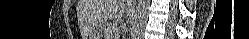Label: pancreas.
<instances>
[{
    "label": "pancreas",
    "instance_id": "cf45deb5",
    "mask_svg": "<svg viewBox=\"0 0 249 39\" xmlns=\"http://www.w3.org/2000/svg\"><path fill=\"white\" fill-rule=\"evenodd\" d=\"M118 21L111 22L104 30L107 39H114L118 34Z\"/></svg>",
    "mask_w": 249,
    "mask_h": 39
}]
</instances>
